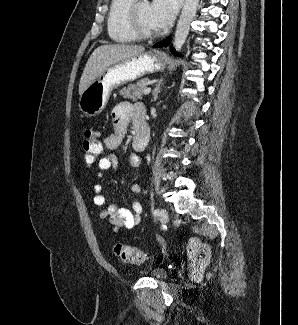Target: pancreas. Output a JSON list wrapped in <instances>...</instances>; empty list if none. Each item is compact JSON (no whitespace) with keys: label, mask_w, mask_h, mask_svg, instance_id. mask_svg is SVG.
<instances>
[{"label":"pancreas","mask_w":298,"mask_h":325,"mask_svg":"<svg viewBox=\"0 0 298 325\" xmlns=\"http://www.w3.org/2000/svg\"><path fill=\"white\" fill-rule=\"evenodd\" d=\"M148 80H150V78H140L138 82H134V84H128V86L120 88L119 94H121L123 98H130L132 102H136L138 98H142L143 88L147 86Z\"/></svg>","instance_id":"obj_1"}]
</instances>
